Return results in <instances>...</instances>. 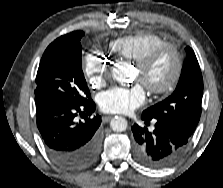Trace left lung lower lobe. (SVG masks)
Listing matches in <instances>:
<instances>
[{
  "label": "left lung lower lobe",
  "mask_w": 223,
  "mask_h": 188,
  "mask_svg": "<svg viewBox=\"0 0 223 188\" xmlns=\"http://www.w3.org/2000/svg\"><path fill=\"white\" fill-rule=\"evenodd\" d=\"M142 119H151L142 115ZM135 158L143 165L162 168L177 161L187 148L189 137L179 130L156 120L153 132L137 124L132 126Z\"/></svg>",
  "instance_id": "0a47b994"
}]
</instances>
